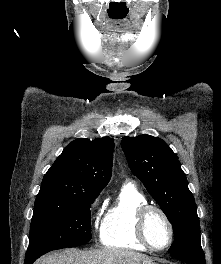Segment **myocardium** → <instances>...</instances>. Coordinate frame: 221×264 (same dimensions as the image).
<instances>
[{"label": "myocardium", "mask_w": 221, "mask_h": 264, "mask_svg": "<svg viewBox=\"0 0 221 264\" xmlns=\"http://www.w3.org/2000/svg\"><path fill=\"white\" fill-rule=\"evenodd\" d=\"M152 212L159 213L168 226L169 241L165 246H162V247L154 246L150 242L147 236V231H146L147 219L150 213ZM135 233L140 243H142L146 248L153 250V251H163V250L168 249L173 244L174 237H175L174 226L169 216L167 215V213L162 208L155 206V205H150V204H146L138 209L136 213V217H135Z\"/></svg>", "instance_id": "myocardium-1"}]
</instances>
